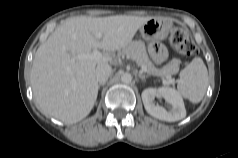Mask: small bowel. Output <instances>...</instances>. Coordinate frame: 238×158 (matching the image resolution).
<instances>
[{
	"label": "small bowel",
	"instance_id": "c3829d8e",
	"mask_svg": "<svg viewBox=\"0 0 238 158\" xmlns=\"http://www.w3.org/2000/svg\"><path fill=\"white\" fill-rule=\"evenodd\" d=\"M149 51L152 57L158 62L163 61L166 57V50L161 44H151L149 46Z\"/></svg>",
	"mask_w": 238,
	"mask_h": 158
}]
</instances>
